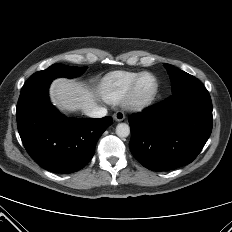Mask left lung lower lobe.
I'll list each match as a JSON object with an SVG mask.
<instances>
[{
    "label": "left lung lower lobe",
    "mask_w": 232,
    "mask_h": 232,
    "mask_svg": "<svg viewBox=\"0 0 232 232\" xmlns=\"http://www.w3.org/2000/svg\"><path fill=\"white\" fill-rule=\"evenodd\" d=\"M212 120V102L203 84L184 88L129 118L130 150L153 171L187 165L207 142Z\"/></svg>",
    "instance_id": "0a47b994"
}]
</instances>
